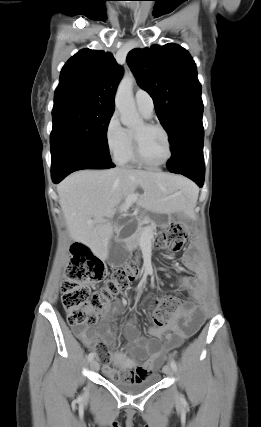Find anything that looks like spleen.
Here are the masks:
<instances>
[{
  "label": "spleen",
  "mask_w": 261,
  "mask_h": 427,
  "mask_svg": "<svg viewBox=\"0 0 261 427\" xmlns=\"http://www.w3.org/2000/svg\"><path fill=\"white\" fill-rule=\"evenodd\" d=\"M197 197H198V190H196V191L193 193V198L195 199V201L197 200Z\"/></svg>",
  "instance_id": "spleen-1"
}]
</instances>
